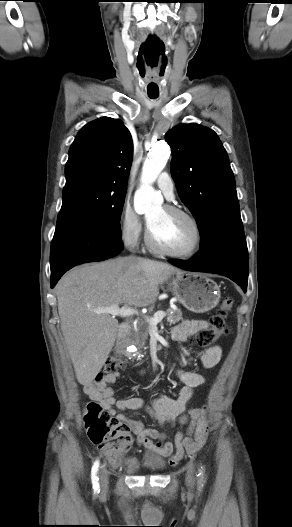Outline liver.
<instances>
[{
    "mask_svg": "<svg viewBox=\"0 0 292 527\" xmlns=\"http://www.w3.org/2000/svg\"><path fill=\"white\" fill-rule=\"evenodd\" d=\"M177 272L167 263L129 256L76 267L59 280L61 330L80 384H90L100 372L119 327L113 316L95 311L121 303L153 304L159 285Z\"/></svg>",
    "mask_w": 292,
    "mask_h": 527,
    "instance_id": "obj_1",
    "label": "liver"
}]
</instances>
